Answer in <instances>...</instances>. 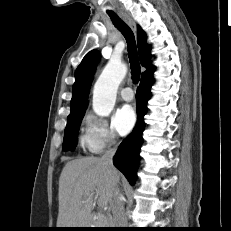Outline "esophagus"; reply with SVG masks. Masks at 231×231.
<instances>
[{"mask_svg": "<svg viewBox=\"0 0 231 231\" xmlns=\"http://www.w3.org/2000/svg\"><path fill=\"white\" fill-rule=\"evenodd\" d=\"M121 17L134 31L136 30V25L130 16L127 14H122Z\"/></svg>", "mask_w": 231, "mask_h": 231, "instance_id": "1", "label": "esophagus"}]
</instances>
